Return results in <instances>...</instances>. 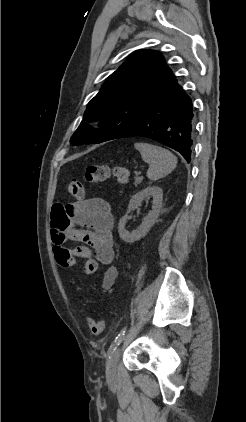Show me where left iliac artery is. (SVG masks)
Here are the masks:
<instances>
[{
	"label": "left iliac artery",
	"instance_id": "1",
	"mask_svg": "<svg viewBox=\"0 0 246 422\" xmlns=\"http://www.w3.org/2000/svg\"><path fill=\"white\" fill-rule=\"evenodd\" d=\"M127 327H124L120 333L116 336L115 340L113 341V343L111 344L109 350H108V356L110 358V356L112 355V353L116 350L117 346L120 344L123 336L125 335Z\"/></svg>",
	"mask_w": 246,
	"mask_h": 422
}]
</instances>
